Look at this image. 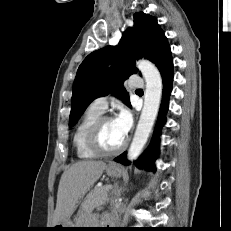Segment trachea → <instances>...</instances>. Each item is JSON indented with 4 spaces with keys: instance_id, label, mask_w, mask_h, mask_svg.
I'll use <instances>...</instances> for the list:
<instances>
[{
    "instance_id": "trachea-1",
    "label": "trachea",
    "mask_w": 231,
    "mask_h": 231,
    "mask_svg": "<svg viewBox=\"0 0 231 231\" xmlns=\"http://www.w3.org/2000/svg\"><path fill=\"white\" fill-rule=\"evenodd\" d=\"M137 91H142L141 89H138Z\"/></svg>"
}]
</instances>
